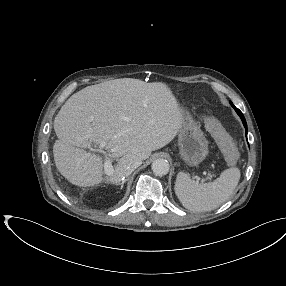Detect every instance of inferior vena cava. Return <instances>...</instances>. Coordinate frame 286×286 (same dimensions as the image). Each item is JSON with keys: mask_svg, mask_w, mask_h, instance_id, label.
<instances>
[{"mask_svg": "<svg viewBox=\"0 0 286 286\" xmlns=\"http://www.w3.org/2000/svg\"><path fill=\"white\" fill-rule=\"evenodd\" d=\"M141 164L142 160L139 158L129 160L126 168V176L130 175Z\"/></svg>", "mask_w": 286, "mask_h": 286, "instance_id": "1", "label": "inferior vena cava"}]
</instances>
